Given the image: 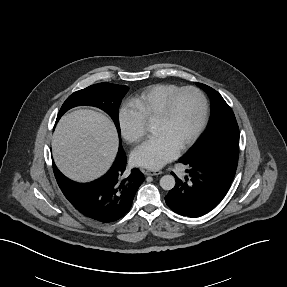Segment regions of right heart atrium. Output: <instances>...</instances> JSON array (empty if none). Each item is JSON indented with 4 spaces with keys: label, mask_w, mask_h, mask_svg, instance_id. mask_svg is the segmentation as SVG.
Masks as SVG:
<instances>
[{
    "label": "right heart atrium",
    "mask_w": 287,
    "mask_h": 287,
    "mask_svg": "<svg viewBox=\"0 0 287 287\" xmlns=\"http://www.w3.org/2000/svg\"><path fill=\"white\" fill-rule=\"evenodd\" d=\"M118 125L122 137L128 143H138L145 136L146 127L138 114L129 107L118 112Z\"/></svg>",
    "instance_id": "d8ad5b80"
}]
</instances>
